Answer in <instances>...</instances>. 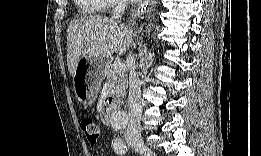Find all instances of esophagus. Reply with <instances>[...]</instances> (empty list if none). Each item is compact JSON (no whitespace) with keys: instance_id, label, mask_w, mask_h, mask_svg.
<instances>
[{"instance_id":"1","label":"esophagus","mask_w":261,"mask_h":156,"mask_svg":"<svg viewBox=\"0 0 261 156\" xmlns=\"http://www.w3.org/2000/svg\"><path fill=\"white\" fill-rule=\"evenodd\" d=\"M156 2H151L150 5L154 6ZM148 4H141L137 9L133 10L132 12V18H143L146 14H148L151 11V7H147Z\"/></svg>"}]
</instances>
